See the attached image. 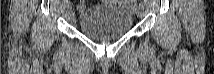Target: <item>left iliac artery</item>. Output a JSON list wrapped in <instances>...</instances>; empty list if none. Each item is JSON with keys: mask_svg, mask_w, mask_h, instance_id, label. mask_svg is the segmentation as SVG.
Instances as JSON below:
<instances>
[{"mask_svg": "<svg viewBox=\"0 0 214 74\" xmlns=\"http://www.w3.org/2000/svg\"><path fill=\"white\" fill-rule=\"evenodd\" d=\"M139 7L143 8V4L140 2Z\"/></svg>", "mask_w": 214, "mask_h": 74, "instance_id": "obj_1", "label": "left iliac artery"}]
</instances>
